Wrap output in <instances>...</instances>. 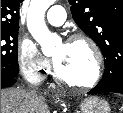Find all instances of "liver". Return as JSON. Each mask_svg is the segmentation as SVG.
<instances>
[{"label":"liver","instance_id":"liver-1","mask_svg":"<svg viewBox=\"0 0 123 113\" xmlns=\"http://www.w3.org/2000/svg\"><path fill=\"white\" fill-rule=\"evenodd\" d=\"M1 113H49L46 99L20 88L1 89Z\"/></svg>","mask_w":123,"mask_h":113}]
</instances>
